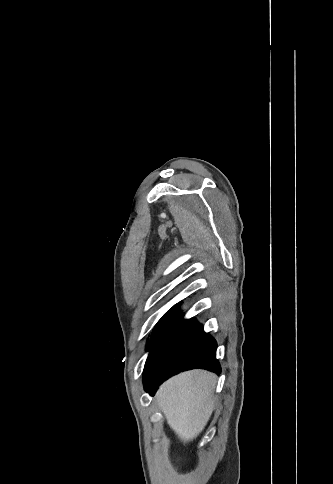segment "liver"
Instances as JSON below:
<instances>
[{
	"label": "liver",
	"instance_id": "6515ba94",
	"mask_svg": "<svg viewBox=\"0 0 333 484\" xmlns=\"http://www.w3.org/2000/svg\"><path fill=\"white\" fill-rule=\"evenodd\" d=\"M217 376L205 370H192L162 384L156 401L167 423L184 443L203 431L213 411Z\"/></svg>",
	"mask_w": 333,
	"mask_h": 484
}]
</instances>
